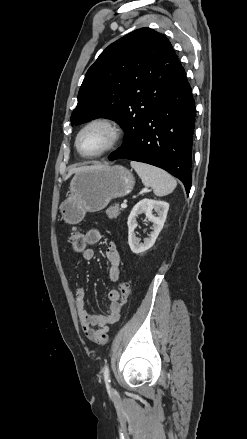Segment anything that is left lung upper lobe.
I'll use <instances>...</instances> for the list:
<instances>
[{"mask_svg":"<svg viewBox=\"0 0 247 439\" xmlns=\"http://www.w3.org/2000/svg\"><path fill=\"white\" fill-rule=\"evenodd\" d=\"M184 73L164 35L150 28L135 30L109 45L88 69L71 124L113 119L125 131V145L159 95Z\"/></svg>","mask_w":247,"mask_h":439,"instance_id":"5c2ea615","label":"left lung upper lobe"}]
</instances>
